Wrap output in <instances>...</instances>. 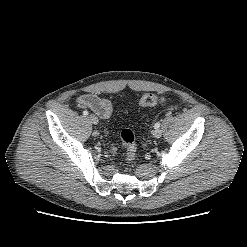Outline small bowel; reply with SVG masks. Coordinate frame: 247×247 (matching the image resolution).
I'll list each match as a JSON object with an SVG mask.
<instances>
[{
  "mask_svg": "<svg viewBox=\"0 0 247 247\" xmlns=\"http://www.w3.org/2000/svg\"><path fill=\"white\" fill-rule=\"evenodd\" d=\"M78 105L91 109L100 118H108L112 112V104L109 100L100 98L94 94H85L79 97Z\"/></svg>",
  "mask_w": 247,
  "mask_h": 247,
  "instance_id": "1",
  "label": "small bowel"
}]
</instances>
